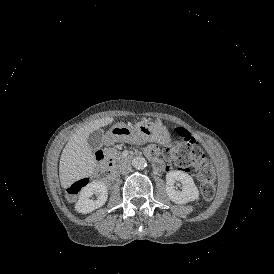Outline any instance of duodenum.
Segmentation results:
<instances>
[{
  "label": "duodenum",
  "instance_id": "obj_1",
  "mask_svg": "<svg viewBox=\"0 0 274 274\" xmlns=\"http://www.w3.org/2000/svg\"><path fill=\"white\" fill-rule=\"evenodd\" d=\"M96 159L98 161L99 166L103 170L107 171L111 176L116 175V167L114 163L102 151L96 153ZM153 164L156 169L161 171H167L169 169L168 166H166L161 161L155 158H153Z\"/></svg>",
  "mask_w": 274,
  "mask_h": 274
}]
</instances>
